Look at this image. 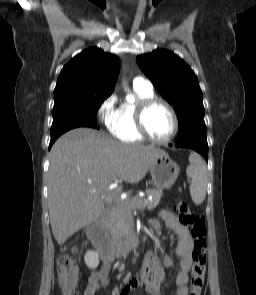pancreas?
Instances as JSON below:
<instances>
[{
	"mask_svg": "<svg viewBox=\"0 0 256 295\" xmlns=\"http://www.w3.org/2000/svg\"><path fill=\"white\" fill-rule=\"evenodd\" d=\"M145 192L153 197L151 201L136 196L115 203L106 223V229L114 242H121L129 233L134 209L152 210L158 206L162 196V189H147Z\"/></svg>",
	"mask_w": 256,
	"mask_h": 295,
	"instance_id": "pancreas-1",
	"label": "pancreas"
}]
</instances>
